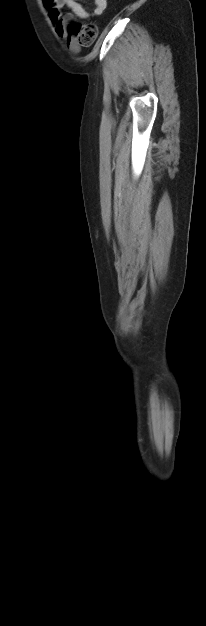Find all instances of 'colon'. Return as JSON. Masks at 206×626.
I'll use <instances>...</instances> for the list:
<instances>
[{
    "label": "colon",
    "mask_w": 206,
    "mask_h": 626,
    "mask_svg": "<svg viewBox=\"0 0 206 626\" xmlns=\"http://www.w3.org/2000/svg\"><path fill=\"white\" fill-rule=\"evenodd\" d=\"M68 31L76 36L79 43L84 47L91 46L98 33L97 26L94 23L81 24L75 20L69 24Z\"/></svg>",
    "instance_id": "colon-1"
}]
</instances>
